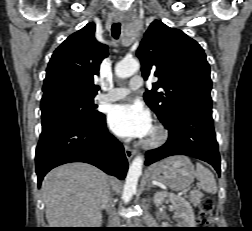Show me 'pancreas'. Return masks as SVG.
Instances as JSON below:
<instances>
[{"label": "pancreas", "mask_w": 252, "mask_h": 231, "mask_svg": "<svg viewBox=\"0 0 252 231\" xmlns=\"http://www.w3.org/2000/svg\"><path fill=\"white\" fill-rule=\"evenodd\" d=\"M203 197V194L198 191V190H195V191H192L189 195V199L190 201L194 204V205H197L200 203V199Z\"/></svg>", "instance_id": "pancreas-1"}]
</instances>
